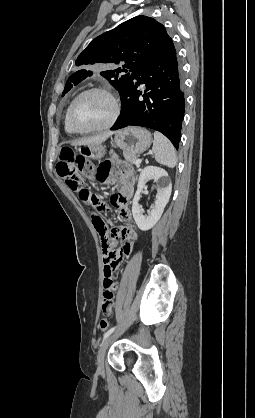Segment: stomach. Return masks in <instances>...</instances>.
Returning <instances> with one entry per match:
<instances>
[{"instance_id": "1", "label": "stomach", "mask_w": 255, "mask_h": 418, "mask_svg": "<svg viewBox=\"0 0 255 418\" xmlns=\"http://www.w3.org/2000/svg\"><path fill=\"white\" fill-rule=\"evenodd\" d=\"M114 142L124 152L139 155L150 147L152 137L147 129L128 127L115 133ZM79 151L84 157L91 159H101L105 155L102 145H84Z\"/></svg>"}]
</instances>
